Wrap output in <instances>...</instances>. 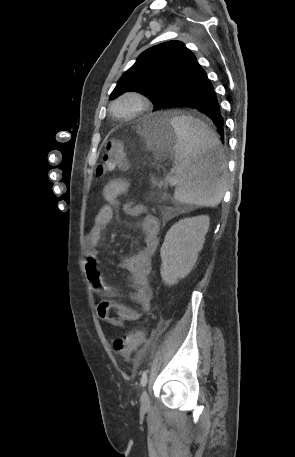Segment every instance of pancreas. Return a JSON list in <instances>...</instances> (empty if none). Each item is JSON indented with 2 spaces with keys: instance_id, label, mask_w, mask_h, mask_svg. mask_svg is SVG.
<instances>
[{
  "instance_id": "cf45deb5",
  "label": "pancreas",
  "mask_w": 295,
  "mask_h": 457,
  "mask_svg": "<svg viewBox=\"0 0 295 457\" xmlns=\"http://www.w3.org/2000/svg\"><path fill=\"white\" fill-rule=\"evenodd\" d=\"M164 185H165V186H167V182H165V184H164Z\"/></svg>"
}]
</instances>
